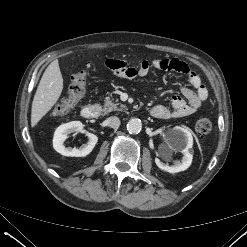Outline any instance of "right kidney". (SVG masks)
Returning a JSON list of instances; mask_svg holds the SVG:
<instances>
[{"label":"right kidney","instance_id":"ca27d5eb","mask_svg":"<svg viewBox=\"0 0 247 247\" xmlns=\"http://www.w3.org/2000/svg\"><path fill=\"white\" fill-rule=\"evenodd\" d=\"M74 132L85 133L88 137V143L81 145L79 149L65 147L64 142L68 135ZM98 142V137L92 133L86 132L84 125L80 121H72L59 126L53 137V148L60 154L70 157H85L92 152Z\"/></svg>","mask_w":247,"mask_h":247}]
</instances>
